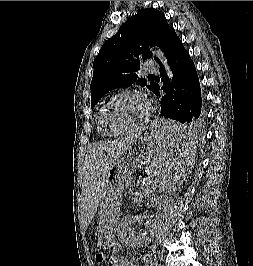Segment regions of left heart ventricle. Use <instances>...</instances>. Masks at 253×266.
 <instances>
[{
	"instance_id": "1",
	"label": "left heart ventricle",
	"mask_w": 253,
	"mask_h": 266,
	"mask_svg": "<svg viewBox=\"0 0 253 266\" xmlns=\"http://www.w3.org/2000/svg\"><path fill=\"white\" fill-rule=\"evenodd\" d=\"M147 111L145 99L138 95H124L105 109L103 123L108 130H124L140 122Z\"/></svg>"
}]
</instances>
